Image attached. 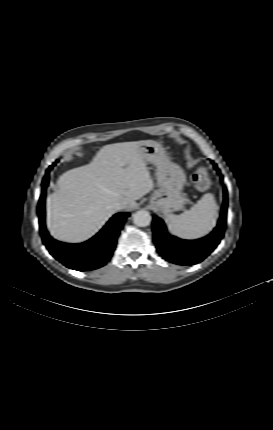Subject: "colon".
<instances>
[{
    "label": "colon",
    "instance_id": "1",
    "mask_svg": "<svg viewBox=\"0 0 273 430\" xmlns=\"http://www.w3.org/2000/svg\"><path fill=\"white\" fill-rule=\"evenodd\" d=\"M193 182L200 191H207L211 186L209 174L204 168H200L195 172L193 175Z\"/></svg>",
    "mask_w": 273,
    "mask_h": 430
}]
</instances>
